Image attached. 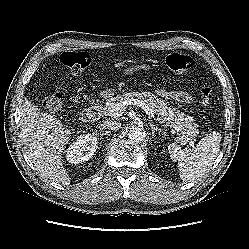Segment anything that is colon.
Wrapping results in <instances>:
<instances>
[{
  "label": "colon",
  "instance_id": "obj_1",
  "mask_svg": "<svg viewBox=\"0 0 249 249\" xmlns=\"http://www.w3.org/2000/svg\"><path fill=\"white\" fill-rule=\"evenodd\" d=\"M60 61L67 66L72 73L81 74L90 65L91 58L87 52L84 51H67L61 54ZM167 67L176 74H184L196 69L194 59L189 55L181 53H171L166 58ZM212 95V88L205 86L200 89V97L203 105L210 103ZM64 94L61 91H56L53 94L42 99V106L51 114H60L64 107Z\"/></svg>",
  "mask_w": 249,
  "mask_h": 249
}]
</instances>
